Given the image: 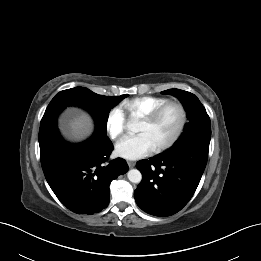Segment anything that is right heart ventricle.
Wrapping results in <instances>:
<instances>
[{"label": "right heart ventricle", "instance_id": "1", "mask_svg": "<svg viewBox=\"0 0 261 261\" xmlns=\"http://www.w3.org/2000/svg\"><path fill=\"white\" fill-rule=\"evenodd\" d=\"M167 101L165 97L141 96L125 100L121 104V109L129 119H140Z\"/></svg>", "mask_w": 261, "mask_h": 261}]
</instances>
